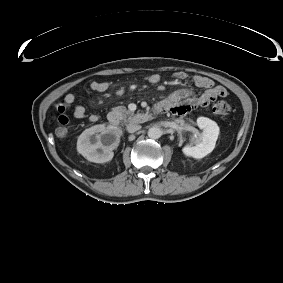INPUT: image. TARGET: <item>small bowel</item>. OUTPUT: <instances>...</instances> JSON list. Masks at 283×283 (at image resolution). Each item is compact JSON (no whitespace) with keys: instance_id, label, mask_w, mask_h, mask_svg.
<instances>
[{"instance_id":"1","label":"small bowel","mask_w":283,"mask_h":283,"mask_svg":"<svg viewBox=\"0 0 283 283\" xmlns=\"http://www.w3.org/2000/svg\"><path fill=\"white\" fill-rule=\"evenodd\" d=\"M188 75L185 72H177L174 75L175 82H182L187 79ZM147 80L152 84H159L161 79L159 74L151 73L147 76ZM193 84L203 91L200 94H196L191 89H180L168 97H166L160 104L165 108H169L176 115H185L196 107H207L212 101L223 98L227 95V91L222 86H216L212 79L203 76L195 75L193 77ZM91 89L96 92H104L110 87V83L106 81H93L91 83ZM76 97L72 93L65 95L62 102L55 105L59 112L60 121L62 119H68L65 115L67 108L74 105ZM87 116L86 108L81 104H76L73 107V117L76 119H82ZM99 119L97 114H91L89 120L95 122Z\"/></svg>"}]
</instances>
